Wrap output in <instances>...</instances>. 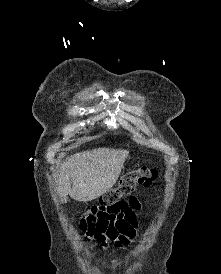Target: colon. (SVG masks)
<instances>
[{
    "label": "colon",
    "mask_w": 221,
    "mask_h": 274,
    "mask_svg": "<svg viewBox=\"0 0 221 274\" xmlns=\"http://www.w3.org/2000/svg\"><path fill=\"white\" fill-rule=\"evenodd\" d=\"M156 179V171L148 167H140L128 172L121 177L117 187L108 190L102 196L100 204L115 205L121 201L123 196L131 194L138 185L149 188L155 184Z\"/></svg>",
    "instance_id": "obj_1"
}]
</instances>
